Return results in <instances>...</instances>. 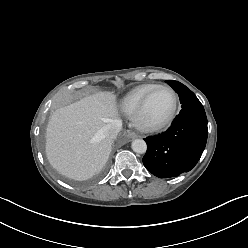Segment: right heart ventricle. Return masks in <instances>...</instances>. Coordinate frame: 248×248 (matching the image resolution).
Listing matches in <instances>:
<instances>
[{"instance_id":"e07e8e85","label":"right heart ventricle","mask_w":248,"mask_h":248,"mask_svg":"<svg viewBox=\"0 0 248 248\" xmlns=\"http://www.w3.org/2000/svg\"><path fill=\"white\" fill-rule=\"evenodd\" d=\"M156 84L140 85L129 91L121 101V108L127 115H134L144 95Z\"/></svg>"}]
</instances>
